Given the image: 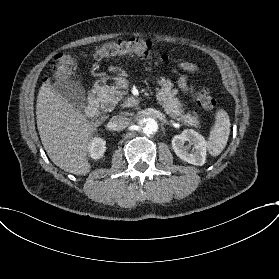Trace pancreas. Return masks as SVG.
Segmentation results:
<instances>
[{
    "instance_id": "cf45deb5",
    "label": "pancreas",
    "mask_w": 279,
    "mask_h": 279,
    "mask_svg": "<svg viewBox=\"0 0 279 279\" xmlns=\"http://www.w3.org/2000/svg\"><path fill=\"white\" fill-rule=\"evenodd\" d=\"M155 88L156 101L164 108V112L172 119H177L188 125H194L197 120L190 115H183L179 109L180 102L175 98V93L172 91L173 84L170 80L164 77L157 76L152 79ZM128 87L126 86L125 89ZM98 99L103 107L115 108L117 103L123 99L125 91L120 90L119 85L109 84L103 87H97Z\"/></svg>"
}]
</instances>
